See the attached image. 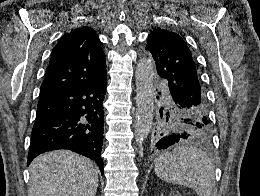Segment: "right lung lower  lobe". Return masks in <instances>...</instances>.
I'll list each match as a JSON object with an SVG mask.
<instances>
[{"mask_svg":"<svg viewBox=\"0 0 260 196\" xmlns=\"http://www.w3.org/2000/svg\"><path fill=\"white\" fill-rule=\"evenodd\" d=\"M106 86L107 76L39 99L27 164L41 153L68 149L94 160L103 174Z\"/></svg>","mask_w":260,"mask_h":196,"instance_id":"obj_1","label":"right lung lower lobe"}]
</instances>
